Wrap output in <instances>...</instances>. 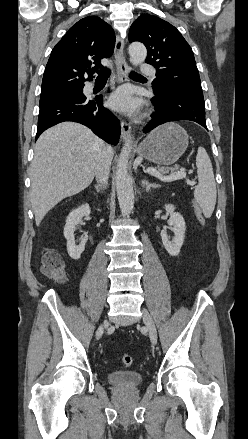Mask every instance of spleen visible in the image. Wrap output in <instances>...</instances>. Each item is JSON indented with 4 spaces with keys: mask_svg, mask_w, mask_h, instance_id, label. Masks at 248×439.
Returning a JSON list of instances; mask_svg holds the SVG:
<instances>
[{
    "mask_svg": "<svg viewBox=\"0 0 248 439\" xmlns=\"http://www.w3.org/2000/svg\"><path fill=\"white\" fill-rule=\"evenodd\" d=\"M198 185L194 190V198L205 217H211L216 204V183L211 160L203 147H198L196 156Z\"/></svg>",
    "mask_w": 248,
    "mask_h": 439,
    "instance_id": "obj_1",
    "label": "spleen"
}]
</instances>
